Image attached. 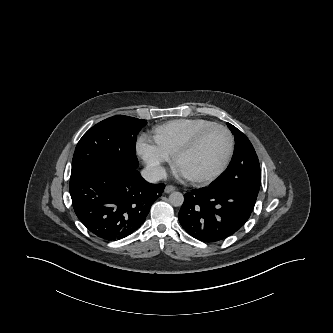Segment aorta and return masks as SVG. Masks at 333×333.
<instances>
[{
	"mask_svg": "<svg viewBox=\"0 0 333 333\" xmlns=\"http://www.w3.org/2000/svg\"><path fill=\"white\" fill-rule=\"evenodd\" d=\"M184 197L180 192H173L169 196V203L175 207H179L183 204Z\"/></svg>",
	"mask_w": 333,
	"mask_h": 333,
	"instance_id": "762f6f07",
	"label": "aorta"
}]
</instances>
